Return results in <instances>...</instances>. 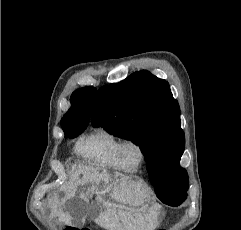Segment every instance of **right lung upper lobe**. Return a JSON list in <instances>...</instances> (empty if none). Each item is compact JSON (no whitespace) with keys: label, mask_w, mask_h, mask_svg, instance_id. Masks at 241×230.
Returning <instances> with one entry per match:
<instances>
[{"label":"right lung upper lobe","mask_w":241,"mask_h":230,"mask_svg":"<svg viewBox=\"0 0 241 230\" xmlns=\"http://www.w3.org/2000/svg\"><path fill=\"white\" fill-rule=\"evenodd\" d=\"M96 93L94 87H84L71 95V107L61 119L63 130L86 128L90 119L93 97Z\"/></svg>","instance_id":"obj_1"}]
</instances>
